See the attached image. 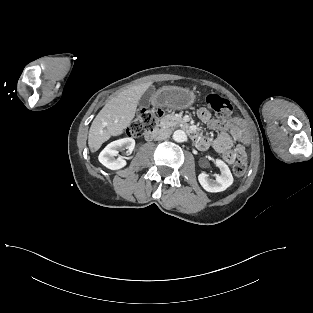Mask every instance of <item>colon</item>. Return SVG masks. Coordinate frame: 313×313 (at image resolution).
Segmentation results:
<instances>
[{
  "instance_id": "5ec220e1",
  "label": "colon",
  "mask_w": 313,
  "mask_h": 313,
  "mask_svg": "<svg viewBox=\"0 0 313 313\" xmlns=\"http://www.w3.org/2000/svg\"><path fill=\"white\" fill-rule=\"evenodd\" d=\"M206 102L208 106L221 117H226L231 113V103L217 95H208ZM163 111L159 108H142L127 128V135L140 137L153 131L162 117ZM224 159L232 163V170L236 176H242L247 170V161L244 158H234L231 153L224 155Z\"/></svg>"
}]
</instances>
